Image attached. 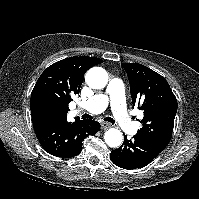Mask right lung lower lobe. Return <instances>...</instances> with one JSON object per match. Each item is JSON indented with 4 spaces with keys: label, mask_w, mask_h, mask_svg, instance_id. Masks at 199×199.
<instances>
[{
    "label": "right lung lower lobe",
    "mask_w": 199,
    "mask_h": 199,
    "mask_svg": "<svg viewBox=\"0 0 199 199\" xmlns=\"http://www.w3.org/2000/svg\"><path fill=\"white\" fill-rule=\"evenodd\" d=\"M33 126L41 146L49 154L61 158L78 155L82 150V141L100 130V124L94 120L61 122L46 119L34 122Z\"/></svg>",
    "instance_id": "obj_1"
}]
</instances>
